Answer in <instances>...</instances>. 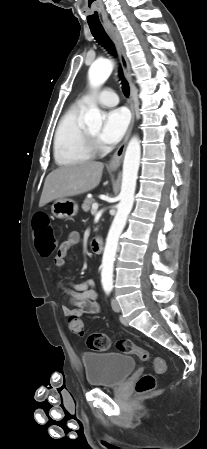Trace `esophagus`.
I'll return each mask as SVG.
<instances>
[{"mask_svg": "<svg viewBox=\"0 0 207 449\" xmlns=\"http://www.w3.org/2000/svg\"><path fill=\"white\" fill-rule=\"evenodd\" d=\"M104 27L115 43L122 69L124 71L125 77L129 81L130 87H131L130 98H129V104H130V110H131V122H130V125L128 127V130L126 132L123 142L117 148V150L113 154L111 160L109 161V167L117 168L120 166V164L122 162L125 148H126L128 139L130 137L133 125H134V119H135L134 91H133V81H132L130 65H129V62H128V59L126 56V51H125L120 33H119L118 29L111 23L105 24Z\"/></svg>", "mask_w": 207, "mask_h": 449, "instance_id": "obj_1", "label": "esophagus"}]
</instances>
